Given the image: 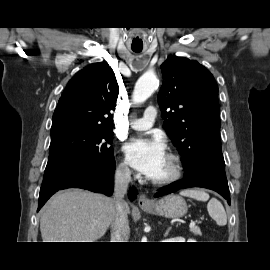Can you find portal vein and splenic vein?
Instances as JSON below:
<instances>
[{"instance_id":"18ae733b","label":"portal vein and splenic vein","mask_w":270,"mask_h":270,"mask_svg":"<svg viewBox=\"0 0 270 270\" xmlns=\"http://www.w3.org/2000/svg\"><path fill=\"white\" fill-rule=\"evenodd\" d=\"M195 226V221H191L189 227L192 228Z\"/></svg>"}]
</instances>
